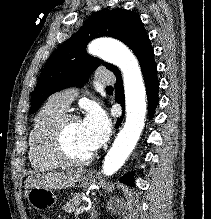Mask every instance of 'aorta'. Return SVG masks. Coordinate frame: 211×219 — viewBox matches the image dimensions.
<instances>
[{"label":"aorta","mask_w":211,"mask_h":219,"mask_svg":"<svg viewBox=\"0 0 211 219\" xmlns=\"http://www.w3.org/2000/svg\"><path fill=\"white\" fill-rule=\"evenodd\" d=\"M88 51L116 65L123 73L126 121L104 159L103 173L109 176L121 168L142 133L146 115V90L138 61L125 45L100 39L93 41Z\"/></svg>","instance_id":"1"}]
</instances>
